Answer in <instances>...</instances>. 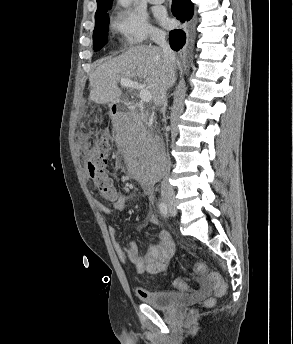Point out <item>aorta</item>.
<instances>
[{"label": "aorta", "instance_id": "aorta-1", "mask_svg": "<svg viewBox=\"0 0 293 344\" xmlns=\"http://www.w3.org/2000/svg\"><path fill=\"white\" fill-rule=\"evenodd\" d=\"M131 2L132 0H118V3L125 8L129 7Z\"/></svg>", "mask_w": 293, "mask_h": 344}]
</instances>
